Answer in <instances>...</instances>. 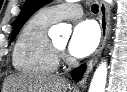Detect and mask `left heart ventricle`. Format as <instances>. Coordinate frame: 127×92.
Returning <instances> with one entry per match:
<instances>
[{
  "instance_id": "left-heart-ventricle-1",
  "label": "left heart ventricle",
  "mask_w": 127,
  "mask_h": 92,
  "mask_svg": "<svg viewBox=\"0 0 127 92\" xmlns=\"http://www.w3.org/2000/svg\"><path fill=\"white\" fill-rule=\"evenodd\" d=\"M65 43H66L65 40L56 42V44H57L59 47H62V48L65 46Z\"/></svg>"
}]
</instances>
